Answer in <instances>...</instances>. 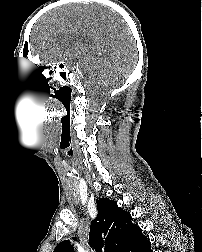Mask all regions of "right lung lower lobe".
Instances as JSON below:
<instances>
[{
	"instance_id": "right-lung-lower-lobe-1",
	"label": "right lung lower lobe",
	"mask_w": 202,
	"mask_h": 252,
	"mask_svg": "<svg viewBox=\"0 0 202 252\" xmlns=\"http://www.w3.org/2000/svg\"><path fill=\"white\" fill-rule=\"evenodd\" d=\"M138 252H152L151 250V243H147L141 250H139Z\"/></svg>"
}]
</instances>
